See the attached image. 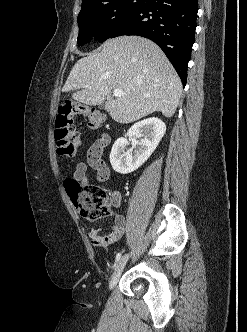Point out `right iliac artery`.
<instances>
[{"label": "right iliac artery", "instance_id": "1", "mask_svg": "<svg viewBox=\"0 0 247 332\" xmlns=\"http://www.w3.org/2000/svg\"><path fill=\"white\" fill-rule=\"evenodd\" d=\"M120 258H121V253H118V254L116 255V261H119Z\"/></svg>", "mask_w": 247, "mask_h": 332}]
</instances>
